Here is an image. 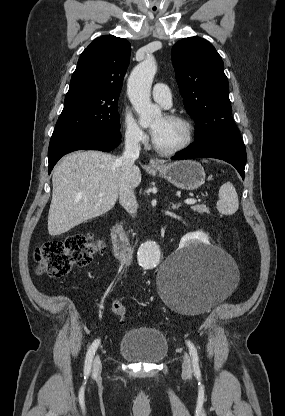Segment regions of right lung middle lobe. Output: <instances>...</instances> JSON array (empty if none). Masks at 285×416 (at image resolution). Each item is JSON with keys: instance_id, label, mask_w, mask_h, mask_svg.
Masks as SVG:
<instances>
[{"instance_id": "dd1d6c3e", "label": "right lung middle lobe", "mask_w": 285, "mask_h": 416, "mask_svg": "<svg viewBox=\"0 0 285 416\" xmlns=\"http://www.w3.org/2000/svg\"><path fill=\"white\" fill-rule=\"evenodd\" d=\"M118 98L84 99L66 95L65 106L56 123L55 131L119 132Z\"/></svg>"}]
</instances>
